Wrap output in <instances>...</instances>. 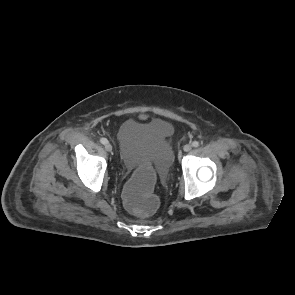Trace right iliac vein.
<instances>
[{
  "label": "right iliac vein",
  "mask_w": 295,
  "mask_h": 295,
  "mask_svg": "<svg viewBox=\"0 0 295 295\" xmlns=\"http://www.w3.org/2000/svg\"><path fill=\"white\" fill-rule=\"evenodd\" d=\"M105 149H106V151H108V152H111L112 151V145L110 144V143H106L105 144Z\"/></svg>",
  "instance_id": "right-iliac-vein-1"
}]
</instances>
